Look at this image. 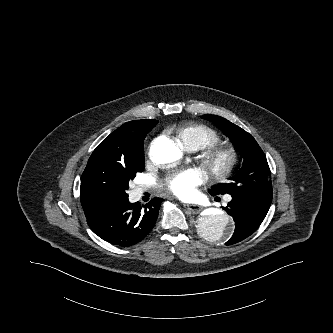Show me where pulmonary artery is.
I'll list each match as a JSON object with an SVG mask.
<instances>
[{
	"mask_svg": "<svg viewBox=\"0 0 333 333\" xmlns=\"http://www.w3.org/2000/svg\"><path fill=\"white\" fill-rule=\"evenodd\" d=\"M186 149H189V150H194L193 148H186ZM143 189L142 188H139L138 189V193H142ZM228 200H230V198H228Z\"/></svg>",
	"mask_w": 333,
	"mask_h": 333,
	"instance_id": "pulmonary-artery-1",
	"label": "pulmonary artery"
}]
</instances>
